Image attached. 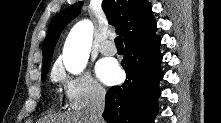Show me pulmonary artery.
Wrapping results in <instances>:
<instances>
[{"label":"pulmonary artery","mask_w":221,"mask_h":123,"mask_svg":"<svg viewBox=\"0 0 221 123\" xmlns=\"http://www.w3.org/2000/svg\"><path fill=\"white\" fill-rule=\"evenodd\" d=\"M99 50L104 55H114L117 52V49L111 40H106L101 43Z\"/></svg>","instance_id":"pulmonary-artery-1"}]
</instances>
